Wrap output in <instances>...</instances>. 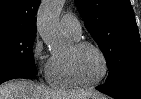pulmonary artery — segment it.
Instances as JSON below:
<instances>
[{
  "mask_svg": "<svg viewBox=\"0 0 141 99\" xmlns=\"http://www.w3.org/2000/svg\"><path fill=\"white\" fill-rule=\"evenodd\" d=\"M61 29L75 39L80 38L82 28L79 20L72 14H64L60 20Z\"/></svg>",
  "mask_w": 141,
  "mask_h": 99,
  "instance_id": "obj_1",
  "label": "pulmonary artery"
}]
</instances>
